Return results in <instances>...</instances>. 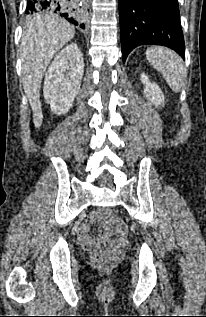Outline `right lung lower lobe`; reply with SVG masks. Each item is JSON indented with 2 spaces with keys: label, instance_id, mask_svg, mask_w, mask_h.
Masks as SVG:
<instances>
[{
  "label": "right lung lower lobe",
  "instance_id": "obj_1",
  "mask_svg": "<svg viewBox=\"0 0 206 317\" xmlns=\"http://www.w3.org/2000/svg\"><path fill=\"white\" fill-rule=\"evenodd\" d=\"M76 0H27L26 14L41 12H55L65 17L69 22L84 29L81 22V13L76 9Z\"/></svg>",
  "mask_w": 206,
  "mask_h": 317
}]
</instances>
